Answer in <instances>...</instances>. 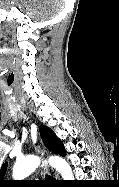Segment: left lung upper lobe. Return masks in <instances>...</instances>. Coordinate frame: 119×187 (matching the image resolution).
Listing matches in <instances>:
<instances>
[{
  "instance_id": "1",
  "label": "left lung upper lobe",
  "mask_w": 119,
  "mask_h": 187,
  "mask_svg": "<svg viewBox=\"0 0 119 187\" xmlns=\"http://www.w3.org/2000/svg\"><path fill=\"white\" fill-rule=\"evenodd\" d=\"M40 133L46 147L53 153L65 156L66 152L61 140L55 135V133L46 126H40ZM7 169V163L3 164L0 171V187H4L5 184H11V181L3 180Z\"/></svg>"
}]
</instances>
